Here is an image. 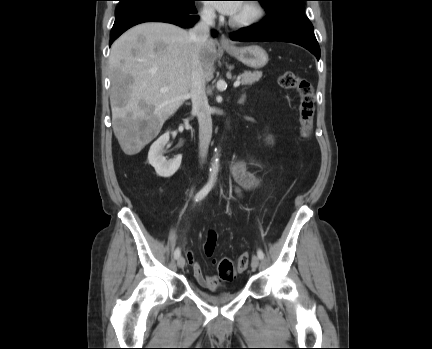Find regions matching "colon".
I'll list each match as a JSON object with an SVG mask.
<instances>
[{
  "label": "colon",
  "instance_id": "colon-1",
  "mask_svg": "<svg viewBox=\"0 0 432 349\" xmlns=\"http://www.w3.org/2000/svg\"><path fill=\"white\" fill-rule=\"evenodd\" d=\"M279 85L284 89L295 90L299 97V122L301 134L304 138L311 136L314 113L315 95L311 83L291 71L282 73L278 78ZM217 243V235L210 231L207 235L204 252L207 256H212ZM249 265V255L242 254L236 261L229 258H221L216 261L219 278L224 281L233 280L239 273L247 269Z\"/></svg>",
  "mask_w": 432,
  "mask_h": 349
}]
</instances>
